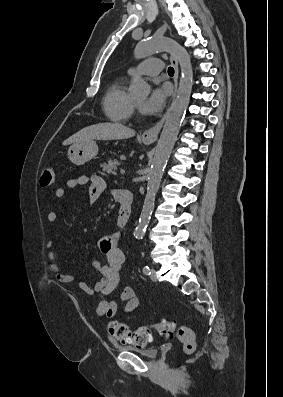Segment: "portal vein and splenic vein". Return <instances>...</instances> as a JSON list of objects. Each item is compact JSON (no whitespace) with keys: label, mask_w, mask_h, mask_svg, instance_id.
<instances>
[{"label":"portal vein and splenic vein","mask_w":283,"mask_h":397,"mask_svg":"<svg viewBox=\"0 0 283 397\" xmlns=\"http://www.w3.org/2000/svg\"><path fill=\"white\" fill-rule=\"evenodd\" d=\"M120 173H121L122 175H124V174H125V170L121 169V170H120Z\"/></svg>","instance_id":"1"}]
</instances>
